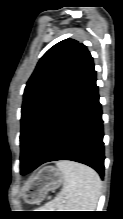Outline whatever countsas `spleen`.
Instances as JSON below:
<instances>
[{
    "instance_id": "obj_1",
    "label": "spleen",
    "mask_w": 123,
    "mask_h": 219,
    "mask_svg": "<svg viewBox=\"0 0 123 219\" xmlns=\"http://www.w3.org/2000/svg\"><path fill=\"white\" fill-rule=\"evenodd\" d=\"M63 173V188L57 197L45 204V211L54 208L67 211H94L101 191L99 175L90 167L72 161L57 162ZM64 196V197H63Z\"/></svg>"
}]
</instances>
